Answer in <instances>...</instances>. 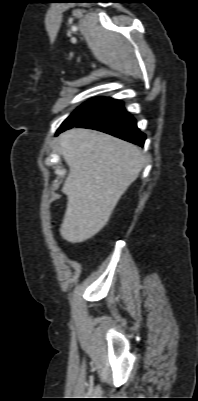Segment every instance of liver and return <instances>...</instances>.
I'll return each instance as SVG.
<instances>
[{
  "instance_id": "1",
  "label": "liver",
  "mask_w": 198,
  "mask_h": 401,
  "mask_svg": "<svg viewBox=\"0 0 198 401\" xmlns=\"http://www.w3.org/2000/svg\"><path fill=\"white\" fill-rule=\"evenodd\" d=\"M58 142L69 167L62 187L68 201L60 234L70 243H80L106 225L146 157L132 143L88 129H70Z\"/></svg>"
}]
</instances>
